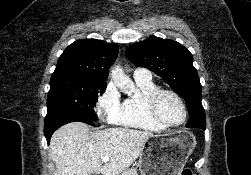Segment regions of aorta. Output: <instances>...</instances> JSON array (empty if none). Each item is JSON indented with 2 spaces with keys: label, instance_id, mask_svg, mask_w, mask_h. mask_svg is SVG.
Returning a JSON list of instances; mask_svg holds the SVG:
<instances>
[{
  "label": "aorta",
  "instance_id": "1",
  "mask_svg": "<svg viewBox=\"0 0 251 175\" xmlns=\"http://www.w3.org/2000/svg\"><path fill=\"white\" fill-rule=\"evenodd\" d=\"M111 80H113L115 86L121 89L123 93H132V91H134L135 89L131 78H129V76H126L124 70H122L120 66H116V68L112 70Z\"/></svg>",
  "mask_w": 251,
  "mask_h": 175
}]
</instances>
